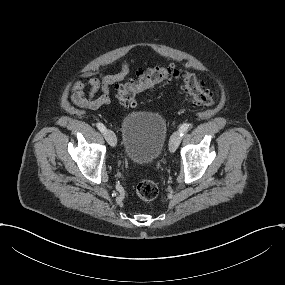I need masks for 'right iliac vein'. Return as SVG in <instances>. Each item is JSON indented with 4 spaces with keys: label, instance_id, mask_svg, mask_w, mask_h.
I'll use <instances>...</instances> for the list:
<instances>
[{
    "label": "right iliac vein",
    "instance_id": "63e3f726",
    "mask_svg": "<svg viewBox=\"0 0 285 285\" xmlns=\"http://www.w3.org/2000/svg\"><path fill=\"white\" fill-rule=\"evenodd\" d=\"M105 137L110 146L114 147L116 145L117 138L112 130L106 129Z\"/></svg>",
    "mask_w": 285,
    "mask_h": 285
}]
</instances>
